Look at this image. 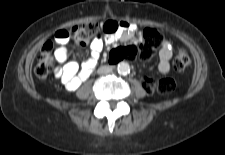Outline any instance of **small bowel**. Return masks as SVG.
Instances as JSON below:
<instances>
[{
  "label": "small bowel",
  "mask_w": 225,
  "mask_h": 155,
  "mask_svg": "<svg viewBox=\"0 0 225 155\" xmlns=\"http://www.w3.org/2000/svg\"><path fill=\"white\" fill-rule=\"evenodd\" d=\"M104 36H96L90 44L91 55L79 65L69 60L67 46L72 39L71 33L64 28L58 29L53 34V41L59 47L55 51V58L59 64L56 76L68 90H76L87 80L95 68L100 52L105 44L113 43L119 36L130 39L136 31V27L127 21L108 20L103 23ZM172 45L168 40H163L158 53V71L167 74L170 71L172 58Z\"/></svg>",
  "instance_id": "c3829d8e"
}]
</instances>
